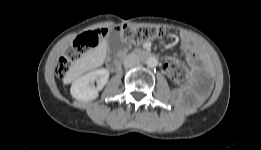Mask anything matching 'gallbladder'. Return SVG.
<instances>
[{"label":"gallbladder","mask_w":261,"mask_h":150,"mask_svg":"<svg viewBox=\"0 0 261 150\" xmlns=\"http://www.w3.org/2000/svg\"><path fill=\"white\" fill-rule=\"evenodd\" d=\"M107 46H108V51L110 53L117 54L122 52L127 47V44L123 40V37L119 32L112 31L107 36Z\"/></svg>","instance_id":"1"}]
</instances>
